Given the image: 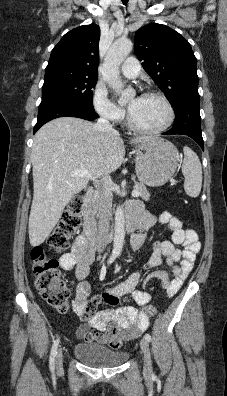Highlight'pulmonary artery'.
I'll list each match as a JSON object with an SVG mask.
<instances>
[{
  "label": "pulmonary artery",
  "mask_w": 227,
  "mask_h": 396,
  "mask_svg": "<svg viewBox=\"0 0 227 396\" xmlns=\"http://www.w3.org/2000/svg\"><path fill=\"white\" fill-rule=\"evenodd\" d=\"M139 71V61L134 57L127 58L121 66L122 74L128 78H135L139 74Z\"/></svg>",
  "instance_id": "1"
}]
</instances>
